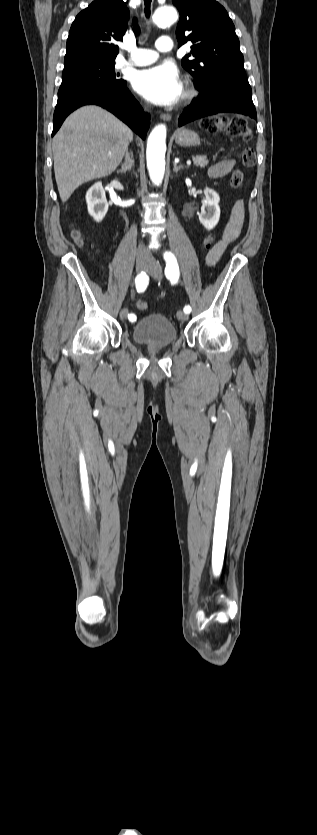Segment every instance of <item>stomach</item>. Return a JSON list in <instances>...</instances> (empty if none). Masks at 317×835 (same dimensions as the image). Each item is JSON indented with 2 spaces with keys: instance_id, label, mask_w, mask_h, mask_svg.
I'll return each mask as SVG.
<instances>
[{
  "instance_id": "stomach-1",
  "label": "stomach",
  "mask_w": 317,
  "mask_h": 835,
  "mask_svg": "<svg viewBox=\"0 0 317 835\" xmlns=\"http://www.w3.org/2000/svg\"><path fill=\"white\" fill-rule=\"evenodd\" d=\"M174 136L175 142L182 147H191L200 144L198 134L190 129H180Z\"/></svg>"
}]
</instances>
